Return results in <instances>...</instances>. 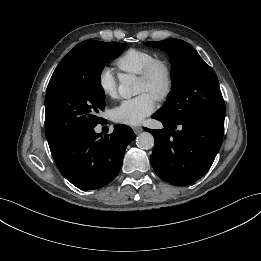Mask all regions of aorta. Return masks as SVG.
Listing matches in <instances>:
<instances>
[{
	"label": "aorta",
	"mask_w": 261,
	"mask_h": 261,
	"mask_svg": "<svg viewBox=\"0 0 261 261\" xmlns=\"http://www.w3.org/2000/svg\"><path fill=\"white\" fill-rule=\"evenodd\" d=\"M119 94L123 98H130L139 93L137 77L133 74H124L120 79ZM140 149H151L154 146V137L149 132H142L136 138Z\"/></svg>",
	"instance_id": "obj_1"
}]
</instances>
